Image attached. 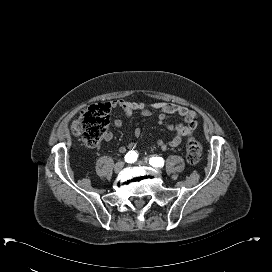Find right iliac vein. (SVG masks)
I'll return each mask as SVG.
<instances>
[{
  "label": "right iliac vein",
  "mask_w": 272,
  "mask_h": 272,
  "mask_svg": "<svg viewBox=\"0 0 272 272\" xmlns=\"http://www.w3.org/2000/svg\"><path fill=\"white\" fill-rule=\"evenodd\" d=\"M124 167V162H117L115 165H114V171L116 173H119Z\"/></svg>",
  "instance_id": "right-iliac-vein-1"
}]
</instances>
